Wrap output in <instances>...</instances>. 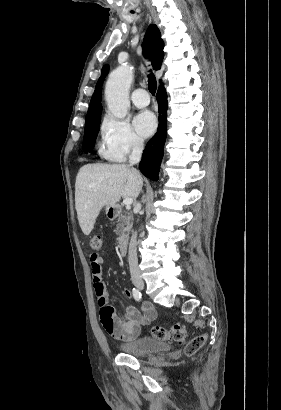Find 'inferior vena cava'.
Instances as JSON below:
<instances>
[{
  "instance_id": "602c4592",
  "label": "inferior vena cava",
  "mask_w": 281,
  "mask_h": 410,
  "mask_svg": "<svg viewBox=\"0 0 281 410\" xmlns=\"http://www.w3.org/2000/svg\"><path fill=\"white\" fill-rule=\"evenodd\" d=\"M143 149H144L143 141L137 140L134 142L132 153L129 156L130 166H133L139 163L141 156H142ZM136 239H137V232H134L131 236V240L129 243V253H128V260H129V267H130L132 281L141 280V274L138 268Z\"/></svg>"
}]
</instances>
